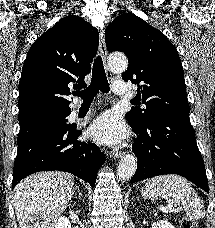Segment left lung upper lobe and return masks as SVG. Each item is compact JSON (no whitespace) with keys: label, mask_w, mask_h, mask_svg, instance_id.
<instances>
[{"label":"left lung upper lobe","mask_w":215,"mask_h":228,"mask_svg":"<svg viewBox=\"0 0 215 228\" xmlns=\"http://www.w3.org/2000/svg\"><path fill=\"white\" fill-rule=\"evenodd\" d=\"M105 41L110 52L121 51L127 56L129 65L122 78L139 86L136 98L146 105L145 109L136 107L126 113L133 129L146 128L158 115L189 114L178 51L160 30L127 13L107 27Z\"/></svg>","instance_id":"obj_1"}]
</instances>
